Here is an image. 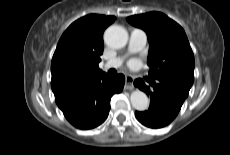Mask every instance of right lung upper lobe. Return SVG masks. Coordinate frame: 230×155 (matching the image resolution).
I'll return each mask as SVG.
<instances>
[{
    "label": "right lung upper lobe",
    "mask_w": 230,
    "mask_h": 155,
    "mask_svg": "<svg viewBox=\"0 0 230 155\" xmlns=\"http://www.w3.org/2000/svg\"><path fill=\"white\" fill-rule=\"evenodd\" d=\"M114 16L90 14L72 23L61 36L51 63L53 92L85 83L103 74V32Z\"/></svg>",
    "instance_id": "cb5924a9"
}]
</instances>
